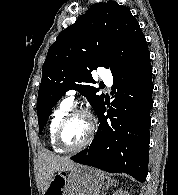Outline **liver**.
<instances>
[{
	"label": "liver",
	"mask_w": 178,
	"mask_h": 195,
	"mask_svg": "<svg viewBox=\"0 0 178 195\" xmlns=\"http://www.w3.org/2000/svg\"><path fill=\"white\" fill-rule=\"evenodd\" d=\"M40 168L39 176L41 182L42 193L48 189L54 175L59 171H68L75 166V162L71 161L68 157L55 155L53 153L43 151L40 154Z\"/></svg>",
	"instance_id": "6515ba94"
}]
</instances>
